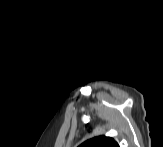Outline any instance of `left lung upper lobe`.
Listing matches in <instances>:
<instances>
[{
  "instance_id": "1",
  "label": "left lung upper lobe",
  "mask_w": 163,
  "mask_h": 147,
  "mask_svg": "<svg viewBox=\"0 0 163 147\" xmlns=\"http://www.w3.org/2000/svg\"><path fill=\"white\" fill-rule=\"evenodd\" d=\"M80 147H119L110 137L97 136L82 143Z\"/></svg>"
}]
</instances>
